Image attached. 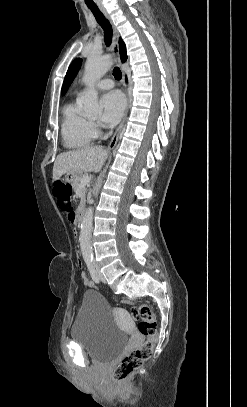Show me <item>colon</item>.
<instances>
[{"instance_id":"5ec220e1","label":"colon","mask_w":247,"mask_h":407,"mask_svg":"<svg viewBox=\"0 0 247 407\" xmlns=\"http://www.w3.org/2000/svg\"><path fill=\"white\" fill-rule=\"evenodd\" d=\"M53 194L57 198L59 208L66 215L72 213L71 186L62 181H57L53 185ZM121 302L129 305L133 304V301L128 297H122ZM131 313L133 318L138 321V329L146 337V340L139 347L126 354L114 367L112 378L116 382H122L127 379L132 372L149 359L156 342L157 322L153 307L149 303H140L132 307Z\"/></svg>"}]
</instances>
